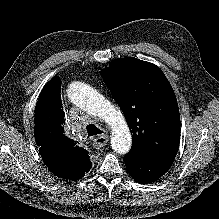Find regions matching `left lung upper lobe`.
Masks as SVG:
<instances>
[{
	"mask_svg": "<svg viewBox=\"0 0 219 219\" xmlns=\"http://www.w3.org/2000/svg\"><path fill=\"white\" fill-rule=\"evenodd\" d=\"M101 75L133 135L127 155L174 160L180 116L175 93L163 72L152 63L126 57L113 60Z\"/></svg>",
	"mask_w": 219,
	"mask_h": 219,
	"instance_id": "5c2ea615",
	"label": "left lung upper lobe"
}]
</instances>
